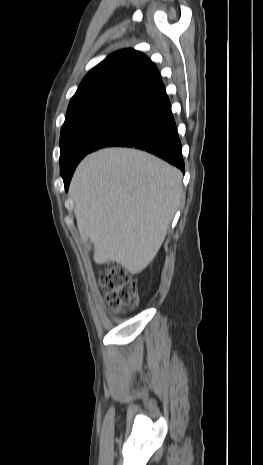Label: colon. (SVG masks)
Instances as JSON below:
<instances>
[{"instance_id":"5ec220e1","label":"colon","mask_w":263,"mask_h":465,"mask_svg":"<svg viewBox=\"0 0 263 465\" xmlns=\"http://www.w3.org/2000/svg\"><path fill=\"white\" fill-rule=\"evenodd\" d=\"M100 284L108 302L116 308L134 306L138 301L136 281L121 266H106L100 274Z\"/></svg>"}]
</instances>
